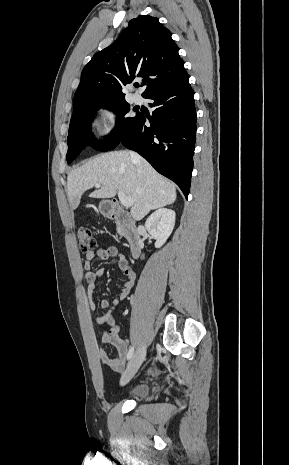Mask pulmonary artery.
<instances>
[{
  "mask_svg": "<svg viewBox=\"0 0 289 465\" xmlns=\"http://www.w3.org/2000/svg\"><path fill=\"white\" fill-rule=\"evenodd\" d=\"M132 98L135 103H140L142 101L141 96L137 93L133 94Z\"/></svg>",
  "mask_w": 289,
  "mask_h": 465,
  "instance_id": "e3ab8cb5",
  "label": "pulmonary artery"
}]
</instances>
